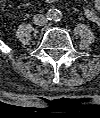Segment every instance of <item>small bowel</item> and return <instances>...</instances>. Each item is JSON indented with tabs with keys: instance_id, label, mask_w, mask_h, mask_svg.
<instances>
[{
	"instance_id": "c3829d8e",
	"label": "small bowel",
	"mask_w": 100,
	"mask_h": 118,
	"mask_svg": "<svg viewBox=\"0 0 100 118\" xmlns=\"http://www.w3.org/2000/svg\"><path fill=\"white\" fill-rule=\"evenodd\" d=\"M49 2H56L57 0H48ZM95 7L100 12V0H95ZM86 17L94 24L100 23V15L90 7L84 8Z\"/></svg>"
}]
</instances>
